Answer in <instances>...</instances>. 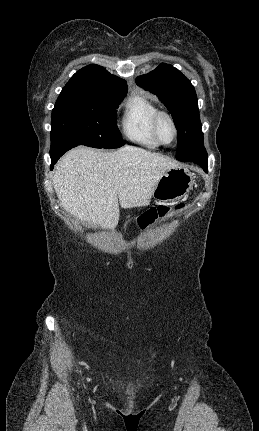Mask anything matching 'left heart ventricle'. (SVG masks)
<instances>
[{"mask_svg":"<svg viewBox=\"0 0 259 431\" xmlns=\"http://www.w3.org/2000/svg\"><path fill=\"white\" fill-rule=\"evenodd\" d=\"M159 135L164 142H170L173 137V128L170 122L163 118L159 123Z\"/></svg>","mask_w":259,"mask_h":431,"instance_id":"1","label":"left heart ventricle"}]
</instances>
